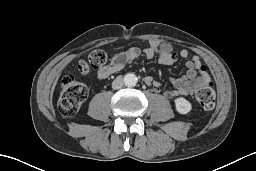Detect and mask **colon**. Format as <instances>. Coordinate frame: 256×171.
<instances>
[{
	"instance_id": "colon-1",
	"label": "colon",
	"mask_w": 256,
	"mask_h": 171,
	"mask_svg": "<svg viewBox=\"0 0 256 171\" xmlns=\"http://www.w3.org/2000/svg\"><path fill=\"white\" fill-rule=\"evenodd\" d=\"M105 62V53L102 50H93L85 59L79 62L78 69L82 74H87L91 69L102 67ZM88 95L89 88L87 85L77 81L71 75L63 77L59 85L58 99L61 113L65 116L74 115ZM195 97L205 109H212L215 106L216 93L211 83L199 88Z\"/></svg>"
}]
</instances>
